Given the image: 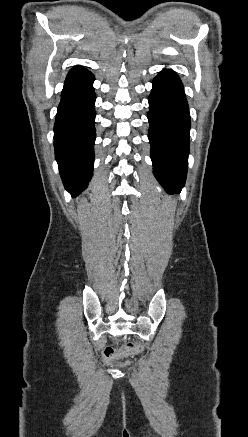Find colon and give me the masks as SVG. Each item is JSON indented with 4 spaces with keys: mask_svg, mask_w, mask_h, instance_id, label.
I'll return each instance as SVG.
<instances>
[{
    "mask_svg": "<svg viewBox=\"0 0 248 437\" xmlns=\"http://www.w3.org/2000/svg\"><path fill=\"white\" fill-rule=\"evenodd\" d=\"M122 351L126 354H132L139 350V346L133 343H126L122 346ZM116 354V349L113 346H108L104 350V356L106 359L114 357Z\"/></svg>",
    "mask_w": 248,
    "mask_h": 437,
    "instance_id": "5ec220e1",
    "label": "colon"
}]
</instances>
